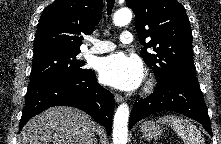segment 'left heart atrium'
Wrapping results in <instances>:
<instances>
[{
    "label": "left heart atrium",
    "instance_id": "left-heart-atrium-1",
    "mask_svg": "<svg viewBox=\"0 0 221 144\" xmlns=\"http://www.w3.org/2000/svg\"><path fill=\"white\" fill-rule=\"evenodd\" d=\"M100 81L121 90L137 88L143 79V67L134 56L115 53L103 58L99 64Z\"/></svg>",
    "mask_w": 221,
    "mask_h": 144
}]
</instances>
